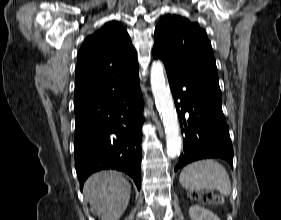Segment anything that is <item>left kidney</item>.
<instances>
[{"label":"left kidney","instance_id":"left-kidney-1","mask_svg":"<svg viewBox=\"0 0 281 220\" xmlns=\"http://www.w3.org/2000/svg\"><path fill=\"white\" fill-rule=\"evenodd\" d=\"M191 220H220L214 213L199 205H193L189 208Z\"/></svg>","mask_w":281,"mask_h":220}]
</instances>
